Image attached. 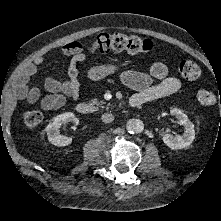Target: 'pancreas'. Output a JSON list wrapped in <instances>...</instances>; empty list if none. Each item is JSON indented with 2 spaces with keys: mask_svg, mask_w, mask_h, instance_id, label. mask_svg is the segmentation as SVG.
Segmentation results:
<instances>
[{
  "mask_svg": "<svg viewBox=\"0 0 221 221\" xmlns=\"http://www.w3.org/2000/svg\"><path fill=\"white\" fill-rule=\"evenodd\" d=\"M103 101H99L98 99H92L91 105L95 111L102 110L104 108Z\"/></svg>",
  "mask_w": 221,
  "mask_h": 221,
  "instance_id": "pancreas-1",
  "label": "pancreas"
}]
</instances>
